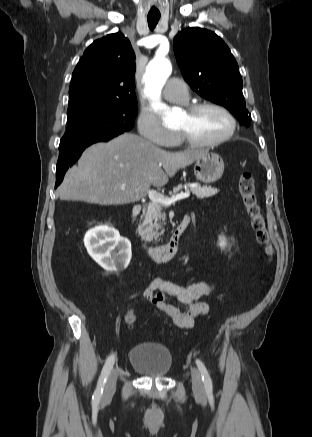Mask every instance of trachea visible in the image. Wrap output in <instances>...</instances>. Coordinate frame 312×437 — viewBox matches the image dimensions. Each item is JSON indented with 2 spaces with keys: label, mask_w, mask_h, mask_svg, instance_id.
Wrapping results in <instances>:
<instances>
[{
  "label": "trachea",
  "mask_w": 312,
  "mask_h": 437,
  "mask_svg": "<svg viewBox=\"0 0 312 437\" xmlns=\"http://www.w3.org/2000/svg\"><path fill=\"white\" fill-rule=\"evenodd\" d=\"M159 19H160V14H149L147 16L148 26L151 30H153L156 27Z\"/></svg>",
  "instance_id": "trachea-1"
}]
</instances>
